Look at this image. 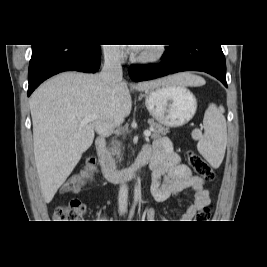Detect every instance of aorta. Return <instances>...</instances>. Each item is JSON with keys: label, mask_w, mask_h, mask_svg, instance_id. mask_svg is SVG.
<instances>
[{"label": "aorta", "mask_w": 267, "mask_h": 267, "mask_svg": "<svg viewBox=\"0 0 267 267\" xmlns=\"http://www.w3.org/2000/svg\"><path fill=\"white\" fill-rule=\"evenodd\" d=\"M140 196H141L140 180L137 179L134 187V199L138 200L140 199Z\"/></svg>", "instance_id": "aorta-1"}]
</instances>
